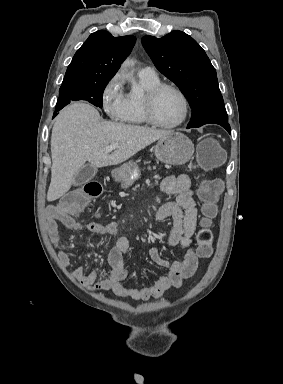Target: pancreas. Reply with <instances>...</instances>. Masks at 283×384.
Segmentation results:
<instances>
[{
	"mask_svg": "<svg viewBox=\"0 0 283 384\" xmlns=\"http://www.w3.org/2000/svg\"><path fill=\"white\" fill-rule=\"evenodd\" d=\"M148 170H156V166H153V168H150L149 166Z\"/></svg>",
	"mask_w": 283,
	"mask_h": 384,
	"instance_id": "pancreas-1",
	"label": "pancreas"
}]
</instances>
